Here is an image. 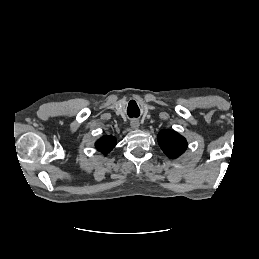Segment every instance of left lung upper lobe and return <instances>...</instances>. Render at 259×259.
Segmentation results:
<instances>
[{"label": "left lung upper lobe", "instance_id": "left-lung-upper-lobe-1", "mask_svg": "<svg viewBox=\"0 0 259 259\" xmlns=\"http://www.w3.org/2000/svg\"><path fill=\"white\" fill-rule=\"evenodd\" d=\"M158 143L163 152L171 159L179 157L187 149V141L179 133L162 130L158 134Z\"/></svg>", "mask_w": 259, "mask_h": 259}]
</instances>
